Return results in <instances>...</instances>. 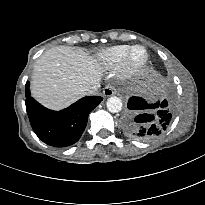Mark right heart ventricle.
I'll return each mask as SVG.
<instances>
[{
    "label": "right heart ventricle",
    "mask_w": 205,
    "mask_h": 205,
    "mask_svg": "<svg viewBox=\"0 0 205 205\" xmlns=\"http://www.w3.org/2000/svg\"><path fill=\"white\" fill-rule=\"evenodd\" d=\"M132 46L115 45L104 48L96 54V61L105 68H112L121 63Z\"/></svg>",
    "instance_id": "e07e8e85"
}]
</instances>
